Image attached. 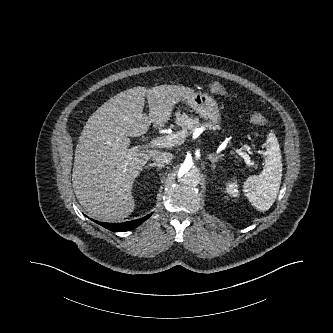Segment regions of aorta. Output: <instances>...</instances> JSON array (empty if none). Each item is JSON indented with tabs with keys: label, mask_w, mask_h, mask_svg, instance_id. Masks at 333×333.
<instances>
[{
	"label": "aorta",
	"mask_w": 333,
	"mask_h": 333,
	"mask_svg": "<svg viewBox=\"0 0 333 333\" xmlns=\"http://www.w3.org/2000/svg\"><path fill=\"white\" fill-rule=\"evenodd\" d=\"M178 177L183 184L196 186L200 182L201 174L192 162L184 161L179 167Z\"/></svg>",
	"instance_id": "obj_1"
}]
</instances>
